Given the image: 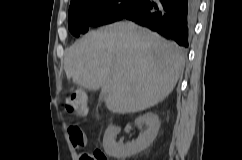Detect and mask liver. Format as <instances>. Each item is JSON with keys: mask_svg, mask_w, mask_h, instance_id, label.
<instances>
[{"mask_svg": "<svg viewBox=\"0 0 242 160\" xmlns=\"http://www.w3.org/2000/svg\"><path fill=\"white\" fill-rule=\"evenodd\" d=\"M185 65L176 43L132 22L91 31L67 51V79L89 90L101 88L106 107L126 114L146 110L174 89Z\"/></svg>", "mask_w": 242, "mask_h": 160, "instance_id": "liver-1", "label": "liver"}]
</instances>
